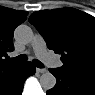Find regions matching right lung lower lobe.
Wrapping results in <instances>:
<instances>
[{
  "mask_svg": "<svg viewBox=\"0 0 95 95\" xmlns=\"http://www.w3.org/2000/svg\"><path fill=\"white\" fill-rule=\"evenodd\" d=\"M35 71V67L30 62L24 63L19 73L0 87V95H21L25 80Z\"/></svg>",
  "mask_w": 95,
  "mask_h": 95,
  "instance_id": "98d812e1",
  "label": "right lung lower lobe"
}]
</instances>
